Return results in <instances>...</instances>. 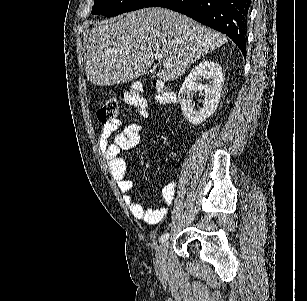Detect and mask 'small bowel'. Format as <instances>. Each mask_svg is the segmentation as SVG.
I'll use <instances>...</instances> for the list:
<instances>
[{
  "mask_svg": "<svg viewBox=\"0 0 307 301\" xmlns=\"http://www.w3.org/2000/svg\"><path fill=\"white\" fill-rule=\"evenodd\" d=\"M120 127L121 122L119 120L104 124L98 145L104 153L111 176L116 181L131 214L148 224H157L164 218L174 199L176 184L169 182L163 187V205L158 209L146 207L135 201L131 195L133 185L127 177L126 162L119 156V153L121 150H131L139 144L140 134L144 130V126L138 123H130L119 131Z\"/></svg>",
  "mask_w": 307,
  "mask_h": 301,
  "instance_id": "c3829d8e",
  "label": "small bowel"
}]
</instances>
